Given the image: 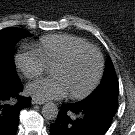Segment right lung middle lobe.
Wrapping results in <instances>:
<instances>
[{
  "label": "right lung middle lobe",
  "instance_id": "obj_1",
  "mask_svg": "<svg viewBox=\"0 0 135 135\" xmlns=\"http://www.w3.org/2000/svg\"><path fill=\"white\" fill-rule=\"evenodd\" d=\"M30 33L19 28L0 30V85H10L20 81L13 59V50L16 43Z\"/></svg>",
  "mask_w": 135,
  "mask_h": 135
}]
</instances>
